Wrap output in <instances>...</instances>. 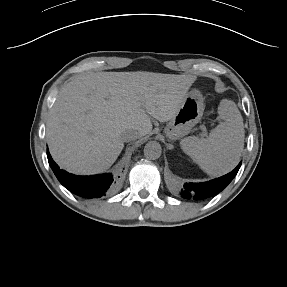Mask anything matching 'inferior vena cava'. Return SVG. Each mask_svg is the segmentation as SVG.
Returning <instances> with one entry per match:
<instances>
[{"mask_svg":"<svg viewBox=\"0 0 287 287\" xmlns=\"http://www.w3.org/2000/svg\"><path fill=\"white\" fill-rule=\"evenodd\" d=\"M139 132L136 130L128 129L124 131L121 135V139L123 142H130L132 140H135L139 137Z\"/></svg>","mask_w":287,"mask_h":287,"instance_id":"inferior-vena-cava-1","label":"inferior vena cava"}]
</instances>
